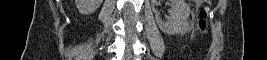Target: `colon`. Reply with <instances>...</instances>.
Here are the masks:
<instances>
[{
  "label": "colon",
  "instance_id": "obj_1",
  "mask_svg": "<svg viewBox=\"0 0 267 60\" xmlns=\"http://www.w3.org/2000/svg\"><path fill=\"white\" fill-rule=\"evenodd\" d=\"M201 2H206V1H201ZM209 13V7L208 6H203L198 14V21H197V26L199 31L205 32L208 27V22H207V14Z\"/></svg>",
  "mask_w": 267,
  "mask_h": 60
}]
</instances>
